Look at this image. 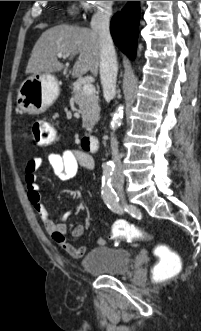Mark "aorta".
<instances>
[{"mask_svg":"<svg viewBox=\"0 0 201 331\" xmlns=\"http://www.w3.org/2000/svg\"><path fill=\"white\" fill-rule=\"evenodd\" d=\"M122 119H123V106L119 105L116 108L112 120L110 122L111 128L113 130H116L120 126Z\"/></svg>","mask_w":201,"mask_h":331,"instance_id":"762f6f07","label":"aorta"}]
</instances>
